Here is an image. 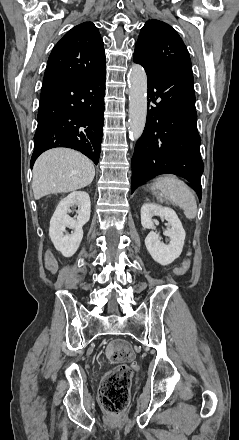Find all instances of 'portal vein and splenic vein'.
<instances>
[{
    "instance_id": "1",
    "label": "portal vein and splenic vein",
    "mask_w": 239,
    "mask_h": 440,
    "mask_svg": "<svg viewBox=\"0 0 239 440\" xmlns=\"http://www.w3.org/2000/svg\"><path fill=\"white\" fill-rule=\"evenodd\" d=\"M168 202L170 201L169 199L167 200ZM170 205H172V206H175V203H169Z\"/></svg>"
}]
</instances>
